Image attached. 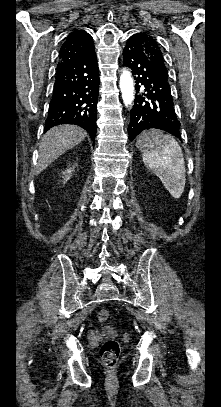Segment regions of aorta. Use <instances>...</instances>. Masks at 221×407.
Listing matches in <instances>:
<instances>
[{
  "instance_id": "aorta-1",
  "label": "aorta",
  "mask_w": 221,
  "mask_h": 407,
  "mask_svg": "<svg viewBox=\"0 0 221 407\" xmlns=\"http://www.w3.org/2000/svg\"><path fill=\"white\" fill-rule=\"evenodd\" d=\"M119 86L124 104L131 105L134 99V82L131 73L126 69L122 71Z\"/></svg>"
}]
</instances>
